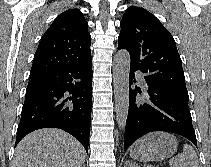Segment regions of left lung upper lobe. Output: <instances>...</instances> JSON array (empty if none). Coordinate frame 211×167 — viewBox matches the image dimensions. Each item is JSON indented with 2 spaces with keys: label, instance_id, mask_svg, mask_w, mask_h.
I'll use <instances>...</instances> for the list:
<instances>
[{
  "label": "left lung upper lobe",
  "instance_id": "obj_1",
  "mask_svg": "<svg viewBox=\"0 0 211 167\" xmlns=\"http://www.w3.org/2000/svg\"><path fill=\"white\" fill-rule=\"evenodd\" d=\"M119 49L153 84L189 99L181 58L169 31L146 9L130 6L120 23Z\"/></svg>",
  "mask_w": 211,
  "mask_h": 167
}]
</instances>
